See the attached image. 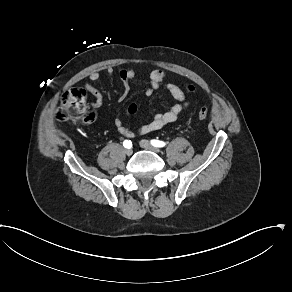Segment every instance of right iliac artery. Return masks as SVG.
<instances>
[{
	"instance_id": "obj_1",
	"label": "right iliac artery",
	"mask_w": 292,
	"mask_h": 292,
	"mask_svg": "<svg viewBox=\"0 0 292 292\" xmlns=\"http://www.w3.org/2000/svg\"><path fill=\"white\" fill-rule=\"evenodd\" d=\"M123 146L125 148H130L132 146V142L130 140H124Z\"/></svg>"
}]
</instances>
